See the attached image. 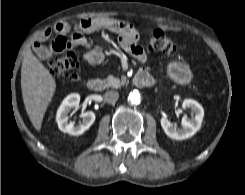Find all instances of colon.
Here are the masks:
<instances>
[{
    "label": "colon",
    "mask_w": 245,
    "mask_h": 195,
    "mask_svg": "<svg viewBox=\"0 0 245 195\" xmlns=\"http://www.w3.org/2000/svg\"><path fill=\"white\" fill-rule=\"evenodd\" d=\"M146 46L151 51L163 52L168 56L177 55L176 44L162 31H153L146 40ZM50 74L56 78L75 80L79 67V58L73 52L59 57L50 58L47 64Z\"/></svg>",
    "instance_id": "5ec220e1"
}]
</instances>
